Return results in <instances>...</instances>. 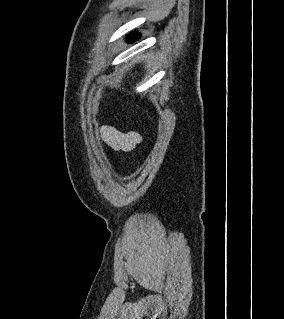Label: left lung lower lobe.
I'll list each match as a JSON object with an SVG mask.
<instances>
[{
    "instance_id": "left-lung-lower-lobe-1",
    "label": "left lung lower lobe",
    "mask_w": 284,
    "mask_h": 319,
    "mask_svg": "<svg viewBox=\"0 0 284 319\" xmlns=\"http://www.w3.org/2000/svg\"><path fill=\"white\" fill-rule=\"evenodd\" d=\"M136 38H137V34L136 33H134V34H131L130 35V41H134V40H136Z\"/></svg>"
}]
</instances>
